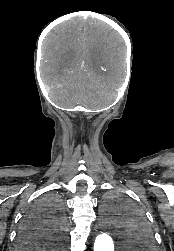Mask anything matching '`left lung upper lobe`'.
I'll return each mask as SVG.
<instances>
[{
    "mask_svg": "<svg viewBox=\"0 0 174 251\" xmlns=\"http://www.w3.org/2000/svg\"><path fill=\"white\" fill-rule=\"evenodd\" d=\"M108 204L110 212L121 214L130 226L129 246L135 251H155L154 236L143 215L121 197L110 198Z\"/></svg>",
    "mask_w": 174,
    "mask_h": 251,
    "instance_id": "obj_1",
    "label": "left lung upper lobe"
}]
</instances>
